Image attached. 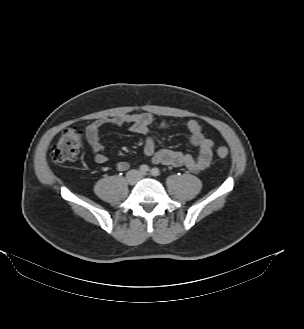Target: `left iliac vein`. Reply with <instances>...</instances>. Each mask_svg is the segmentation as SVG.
<instances>
[{
	"instance_id": "4c4485c4",
	"label": "left iliac vein",
	"mask_w": 304,
	"mask_h": 329,
	"mask_svg": "<svg viewBox=\"0 0 304 329\" xmlns=\"http://www.w3.org/2000/svg\"><path fill=\"white\" fill-rule=\"evenodd\" d=\"M144 176H145L144 174L141 175V177H144Z\"/></svg>"
}]
</instances>
